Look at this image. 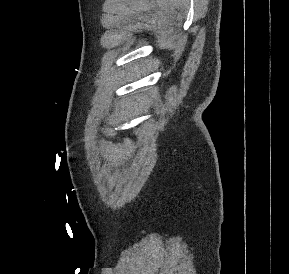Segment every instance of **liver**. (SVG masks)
<instances>
[{"label": "liver", "instance_id": "1", "mask_svg": "<svg viewBox=\"0 0 289 274\" xmlns=\"http://www.w3.org/2000/svg\"><path fill=\"white\" fill-rule=\"evenodd\" d=\"M144 69V65L143 64H139L136 66V72L137 73H141Z\"/></svg>", "mask_w": 289, "mask_h": 274}]
</instances>
